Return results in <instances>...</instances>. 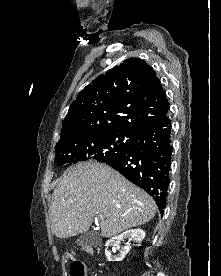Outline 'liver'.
Wrapping results in <instances>:
<instances>
[{
    "mask_svg": "<svg viewBox=\"0 0 221 276\" xmlns=\"http://www.w3.org/2000/svg\"><path fill=\"white\" fill-rule=\"evenodd\" d=\"M156 203L144 190L108 165L87 161L70 168L53 191L50 219L58 238L89 230L102 216L101 235L113 237L149 222Z\"/></svg>",
    "mask_w": 221,
    "mask_h": 276,
    "instance_id": "liver-1",
    "label": "liver"
}]
</instances>
